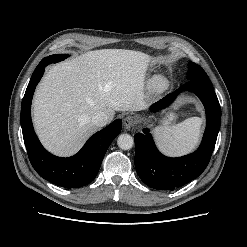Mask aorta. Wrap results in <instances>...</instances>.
Wrapping results in <instances>:
<instances>
[{"label":"aorta","mask_w":247,"mask_h":247,"mask_svg":"<svg viewBox=\"0 0 247 247\" xmlns=\"http://www.w3.org/2000/svg\"><path fill=\"white\" fill-rule=\"evenodd\" d=\"M117 144L122 150H129L134 145V139L129 134H121L117 139Z\"/></svg>","instance_id":"1"}]
</instances>
